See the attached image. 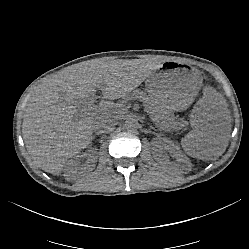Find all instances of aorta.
Masks as SVG:
<instances>
[{"instance_id": "1", "label": "aorta", "mask_w": 249, "mask_h": 249, "mask_svg": "<svg viewBox=\"0 0 249 249\" xmlns=\"http://www.w3.org/2000/svg\"><path fill=\"white\" fill-rule=\"evenodd\" d=\"M124 126L129 131H135L139 127L138 120L132 116L127 117Z\"/></svg>"}]
</instances>
